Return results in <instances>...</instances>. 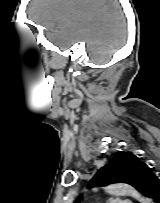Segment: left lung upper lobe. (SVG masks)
<instances>
[{
    "mask_svg": "<svg viewBox=\"0 0 160 203\" xmlns=\"http://www.w3.org/2000/svg\"><path fill=\"white\" fill-rule=\"evenodd\" d=\"M157 175L146 163L131 152L118 151L114 159L102 167L89 182V186L107 185L113 182H124L134 186L150 197ZM80 196L74 203H79Z\"/></svg>",
    "mask_w": 160,
    "mask_h": 203,
    "instance_id": "1",
    "label": "left lung upper lobe"
}]
</instances>
